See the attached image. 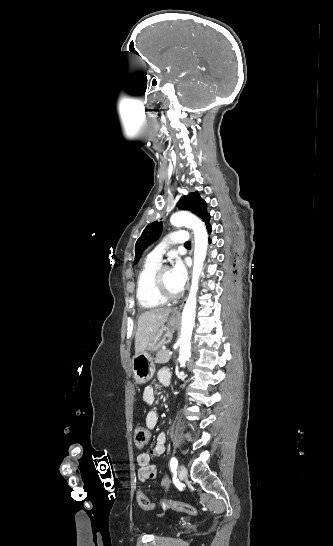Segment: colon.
<instances>
[{"mask_svg":"<svg viewBox=\"0 0 333 546\" xmlns=\"http://www.w3.org/2000/svg\"><path fill=\"white\" fill-rule=\"evenodd\" d=\"M133 439H134L135 447L137 449H140V450L144 449L149 443L150 432L146 427H144L142 425H138V426H136L134 428ZM137 501H138L140 507L143 510H146V511H152L155 508H157L158 506H163V507H167L169 509H173V510H176V511H179V512H183V513H186V514L192 515V516H195V515L198 514L197 509L194 506L190 505V504H187L185 502L171 500V499H162L160 502L155 503V502L150 501L145 496V494L143 492L138 493Z\"/></svg>","mask_w":333,"mask_h":546,"instance_id":"obj_1","label":"colon"}]
</instances>
